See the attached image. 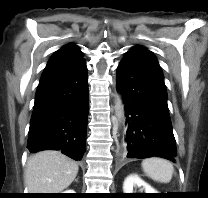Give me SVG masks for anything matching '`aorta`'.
Returning <instances> with one entry per match:
<instances>
[{
    "instance_id": "762f6f07",
    "label": "aorta",
    "mask_w": 208,
    "mask_h": 198,
    "mask_svg": "<svg viewBox=\"0 0 208 198\" xmlns=\"http://www.w3.org/2000/svg\"><path fill=\"white\" fill-rule=\"evenodd\" d=\"M115 109H116V116L120 118L122 116V111H123V105L120 96H117Z\"/></svg>"
}]
</instances>
